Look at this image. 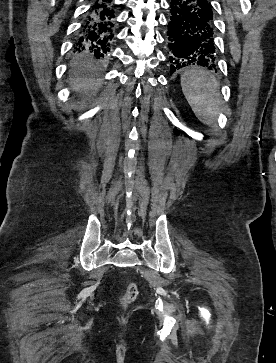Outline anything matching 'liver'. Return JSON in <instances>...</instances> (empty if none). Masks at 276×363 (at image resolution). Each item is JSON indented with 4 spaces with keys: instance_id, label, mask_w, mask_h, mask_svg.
Segmentation results:
<instances>
[{
    "instance_id": "liver-1",
    "label": "liver",
    "mask_w": 276,
    "mask_h": 363,
    "mask_svg": "<svg viewBox=\"0 0 276 363\" xmlns=\"http://www.w3.org/2000/svg\"><path fill=\"white\" fill-rule=\"evenodd\" d=\"M70 66L72 68V88L85 97L94 95L100 87V80L94 78L99 68L90 59L89 55H77Z\"/></svg>"
}]
</instances>
